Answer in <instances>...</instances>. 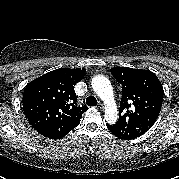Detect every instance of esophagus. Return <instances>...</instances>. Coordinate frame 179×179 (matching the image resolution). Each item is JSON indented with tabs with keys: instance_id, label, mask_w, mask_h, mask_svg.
<instances>
[{
	"instance_id": "obj_1",
	"label": "esophagus",
	"mask_w": 179,
	"mask_h": 179,
	"mask_svg": "<svg viewBox=\"0 0 179 179\" xmlns=\"http://www.w3.org/2000/svg\"><path fill=\"white\" fill-rule=\"evenodd\" d=\"M97 109H99L100 111H103L104 110V106L103 104L99 103L97 106Z\"/></svg>"
}]
</instances>
